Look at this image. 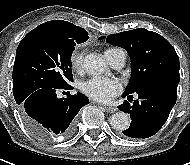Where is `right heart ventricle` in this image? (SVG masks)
Segmentation results:
<instances>
[{"label":"right heart ventricle","mask_w":190,"mask_h":165,"mask_svg":"<svg viewBox=\"0 0 190 165\" xmlns=\"http://www.w3.org/2000/svg\"><path fill=\"white\" fill-rule=\"evenodd\" d=\"M116 48H109L105 50V56L107 58V60L110 62L112 57H113V53L116 51Z\"/></svg>","instance_id":"1"}]
</instances>
